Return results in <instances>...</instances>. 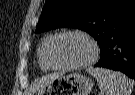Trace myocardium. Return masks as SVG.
<instances>
[{"mask_svg": "<svg viewBox=\"0 0 135 95\" xmlns=\"http://www.w3.org/2000/svg\"><path fill=\"white\" fill-rule=\"evenodd\" d=\"M68 35L82 37L90 44L92 53H91V56L86 61L79 63V64H74V65H58V64L54 63V61L52 60V56H51L53 44L60 37L68 36ZM98 55H99L98 44L89 34H87L84 31H80V30H65V31H61L51 37L50 41L48 42L47 48H46L45 59H46L48 66L52 69L62 70V71H72V70L83 69V68L89 66L97 59Z\"/></svg>", "mask_w": 135, "mask_h": 95, "instance_id": "1", "label": "myocardium"}]
</instances>
